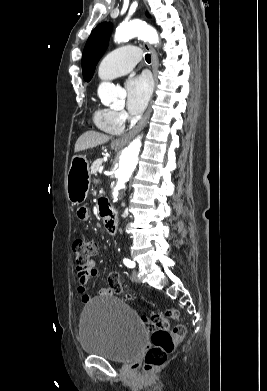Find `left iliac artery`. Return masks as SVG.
Here are the masks:
<instances>
[{"instance_id": "obj_1", "label": "left iliac artery", "mask_w": 267, "mask_h": 391, "mask_svg": "<svg viewBox=\"0 0 267 391\" xmlns=\"http://www.w3.org/2000/svg\"><path fill=\"white\" fill-rule=\"evenodd\" d=\"M123 262H124V264L127 266V267H129V268H133V267H135V263L133 262V261H131V260H129V259H124L123 260Z\"/></svg>"}]
</instances>
